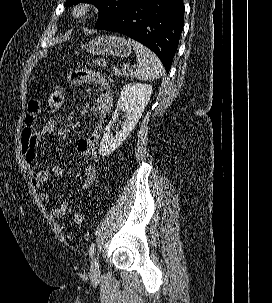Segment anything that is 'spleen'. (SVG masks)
I'll list each match as a JSON object with an SVG mask.
<instances>
[{"mask_svg":"<svg viewBox=\"0 0 272 303\" xmlns=\"http://www.w3.org/2000/svg\"><path fill=\"white\" fill-rule=\"evenodd\" d=\"M128 43L133 47L138 62L133 72L135 78L141 81H153L165 73L162 63L152 51L133 39H128Z\"/></svg>","mask_w":272,"mask_h":303,"instance_id":"3e777b00","label":"spleen"}]
</instances>
